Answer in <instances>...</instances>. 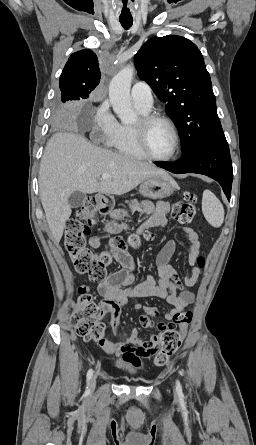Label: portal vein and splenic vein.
<instances>
[{
    "label": "portal vein and splenic vein",
    "instance_id": "1",
    "mask_svg": "<svg viewBox=\"0 0 256 445\" xmlns=\"http://www.w3.org/2000/svg\"><path fill=\"white\" fill-rule=\"evenodd\" d=\"M110 177H111V175L106 174V173H104V174L101 175V179H108V178H110Z\"/></svg>",
    "mask_w": 256,
    "mask_h": 445
}]
</instances>
